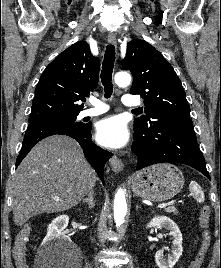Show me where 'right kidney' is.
Wrapping results in <instances>:
<instances>
[{
    "label": "right kidney",
    "instance_id": "obj_1",
    "mask_svg": "<svg viewBox=\"0 0 221 268\" xmlns=\"http://www.w3.org/2000/svg\"><path fill=\"white\" fill-rule=\"evenodd\" d=\"M69 217L67 215H61L49 224L47 235L43 240L44 245H49L55 241H64L70 242L69 236H67L64 232L66 227L68 226Z\"/></svg>",
    "mask_w": 221,
    "mask_h": 268
}]
</instances>
